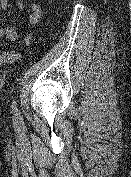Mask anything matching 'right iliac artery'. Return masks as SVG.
Masks as SVG:
<instances>
[{
    "label": "right iliac artery",
    "instance_id": "82829eb1",
    "mask_svg": "<svg viewBox=\"0 0 131 177\" xmlns=\"http://www.w3.org/2000/svg\"><path fill=\"white\" fill-rule=\"evenodd\" d=\"M12 109H13V112L15 113V115H17V108H16V102L15 101L12 104Z\"/></svg>",
    "mask_w": 131,
    "mask_h": 177
}]
</instances>
